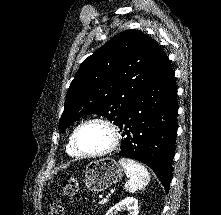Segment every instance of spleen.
Instances as JSON below:
<instances>
[{
    "label": "spleen",
    "mask_w": 221,
    "mask_h": 215,
    "mask_svg": "<svg viewBox=\"0 0 221 215\" xmlns=\"http://www.w3.org/2000/svg\"><path fill=\"white\" fill-rule=\"evenodd\" d=\"M119 164L124 168L129 178L125 184V190L127 192H136L148 184L150 174L143 165L129 158H120Z\"/></svg>",
    "instance_id": "3e777b00"
}]
</instances>
